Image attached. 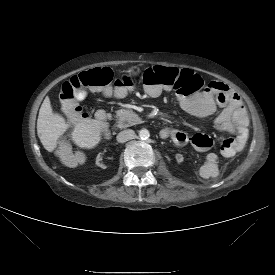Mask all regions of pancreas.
I'll return each instance as SVG.
<instances>
[{
  "instance_id": "obj_1",
  "label": "pancreas",
  "mask_w": 275,
  "mask_h": 275,
  "mask_svg": "<svg viewBox=\"0 0 275 275\" xmlns=\"http://www.w3.org/2000/svg\"><path fill=\"white\" fill-rule=\"evenodd\" d=\"M117 127L126 128L140 123V118L131 109H121L116 112Z\"/></svg>"
}]
</instances>
